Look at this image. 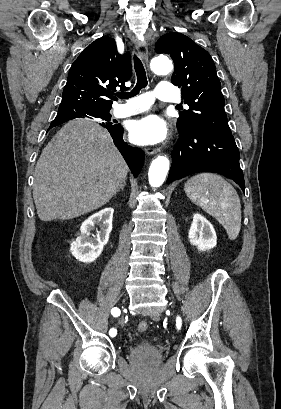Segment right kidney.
Here are the masks:
<instances>
[{"instance_id": "obj_1", "label": "right kidney", "mask_w": 281, "mask_h": 409, "mask_svg": "<svg viewBox=\"0 0 281 409\" xmlns=\"http://www.w3.org/2000/svg\"><path fill=\"white\" fill-rule=\"evenodd\" d=\"M114 209L106 207L98 211L95 215L88 217L80 227V235L76 241L71 243L70 251L78 261L82 263H93L101 255L104 245H107L112 231V219ZM102 221L101 231L97 235L90 237L91 231H94L96 223Z\"/></svg>"}]
</instances>
